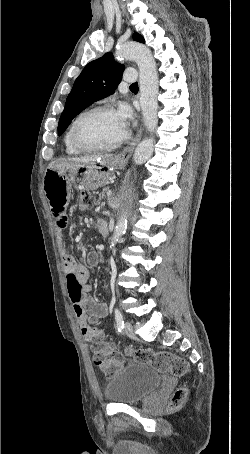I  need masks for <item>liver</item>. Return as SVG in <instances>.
<instances>
[{
  "label": "liver",
  "instance_id": "liver-1",
  "mask_svg": "<svg viewBox=\"0 0 250 454\" xmlns=\"http://www.w3.org/2000/svg\"><path fill=\"white\" fill-rule=\"evenodd\" d=\"M111 154H106V155H90V156H83V157H71L66 160H64V163H67L68 165H73L77 166L79 164H88L92 163L101 159L105 158H111Z\"/></svg>",
  "mask_w": 250,
  "mask_h": 454
}]
</instances>
